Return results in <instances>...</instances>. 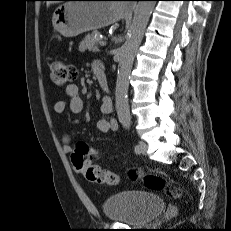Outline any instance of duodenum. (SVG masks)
Instances as JSON below:
<instances>
[{
	"label": "duodenum",
	"mask_w": 231,
	"mask_h": 231,
	"mask_svg": "<svg viewBox=\"0 0 231 231\" xmlns=\"http://www.w3.org/2000/svg\"><path fill=\"white\" fill-rule=\"evenodd\" d=\"M94 73H95L96 79H97L99 85L101 86V88L105 91H108L109 85H108V80H107V76H106L104 67L100 64L95 65Z\"/></svg>",
	"instance_id": "410a0bca"
}]
</instances>
